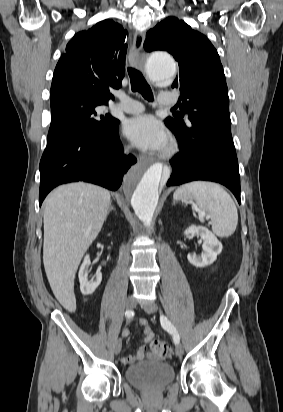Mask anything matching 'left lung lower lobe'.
Segmentation results:
<instances>
[{
    "label": "left lung lower lobe",
    "instance_id": "0a47b994",
    "mask_svg": "<svg viewBox=\"0 0 283 412\" xmlns=\"http://www.w3.org/2000/svg\"><path fill=\"white\" fill-rule=\"evenodd\" d=\"M180 152L170 161L172 174L167 182L174 186L193 180L214 181L225 185L240 204V175L237 158L209 152L203 140L188 130L173 131Z\"/></svg>",
    "mask_w": 283,
    "mask_h": 412
}]
</instances>
